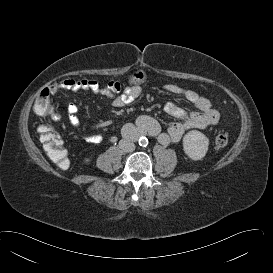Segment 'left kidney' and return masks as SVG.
Instances as JSON below:
<instances>
[{"mask_svg":"<svg viewBox=\"0 0 273 273\" xmlns=\"http://www.w3.org/2000/svg\"><path fill=\"white\" fill-rule=\"evenodd\" d=\"M209 146V139L200 131H189L183 137V150L185 154L192 160L202 159Z\"/></svg>","mask_w":273,"mask_h":273,"instance_id":"obj_1","label":"left kidney"}]
</instances>
